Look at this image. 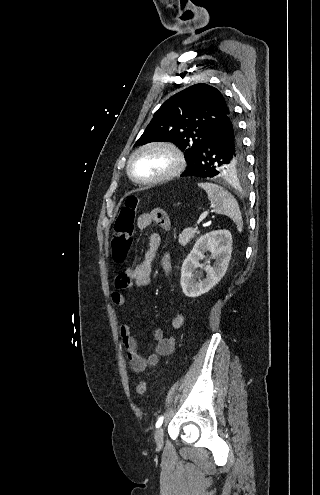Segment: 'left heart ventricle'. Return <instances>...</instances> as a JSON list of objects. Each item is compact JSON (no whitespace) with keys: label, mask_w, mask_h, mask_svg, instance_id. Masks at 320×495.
<instances>
[{"label":"left heart ventricle","mask_w":320,"mask_h":495,"mask_svg":"<svg viewBox=\"0 0 320 495\" xmlns=\"http://www.w3.org/2000/svg\"><path fill=\"white\" fill-rule=\"evenodd\" d=\"M171 155L163 150H150L139 154L132 164L134 174L141 179H150L170 170Z\"/></svg>","instance_id":"obj_1"}]
</instances>
